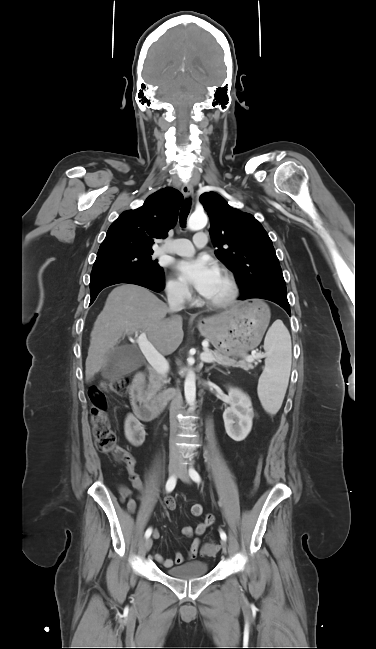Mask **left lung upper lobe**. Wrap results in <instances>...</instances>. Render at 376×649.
Returning <instances> with one entry per match:
<instances>
[{"mask_svg":"<svg viewBox=\"0 0 376 649\" xmlns=\"http://www.w3.org/2000/svg\"><path fill=\"white\" fill-rule=\"evenodd\" d=\"M200 201L210 217L212 241L219 240L215 254L239 276L242 296L260 288L287 296L278 258L262 225L251 214L230 207L217 193H204Z\"/></svg>","mask_w":376,"mask_h":649,"instance_id":"left-lung-upper-lobe-1","label":"left lung upper lobe"}]
</instances>
